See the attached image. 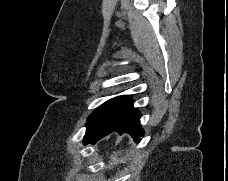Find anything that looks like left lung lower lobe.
Segmentation results:
<instances>
[{
  "label": "left lung lower lobe",
  "mask_w": 228,
  "mask_h": 181,
  "mask_svg": "<svg viewBox=\"0 0 228 181\" xmlns=\"http://www.w3.org/2000/svg\"><path fill=\"white\" fill-rule=\"evenodd\" d=\"M140 117V112L138 109L133 107V101L131 100L126 114L118 124L108 128L104 127L87 130L83 143L95 144L102 137L109 135L114 131L118 132L119 134L127 132L134 138L135 141H140L141 139H139V137H142L144 135V131L140 125Z\"/></svg>",
  "instance_id": "obj_1"
}]
</instances>
